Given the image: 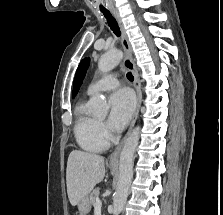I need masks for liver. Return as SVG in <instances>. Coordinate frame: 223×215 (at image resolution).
Instances as JSON below:
<instances>
[{
	"label": "liver",
	"mask_w": 223,
	"mask_h": 215,
	"mask_svg": "<svg viewBox=\"0 0 223 215\" xmlns=\"http://www.w3.org/2000/svg\"><path fill=\"white\" fill-rule=\"evenodd\" d=\"M105 175V161L102 155L73 149L69 153L66 169L67 193L71 205H77L88 195L96 183Z\"/></svg>",
	"instance_id": "6515ba94"
}]
</instances>
